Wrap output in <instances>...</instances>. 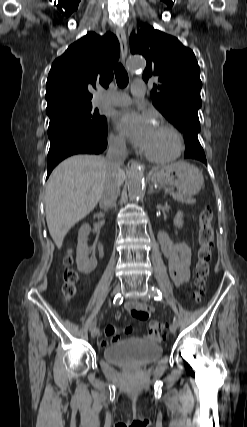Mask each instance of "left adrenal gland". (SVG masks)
<instances>
[{
  "label": "left adrenal gland",
  "instance_id": "a2214340",
  "mask_svg": "<svg viewBox=\"0 0 247 427\" xmlns=\"http://www.w3.org/2000/svg\"><path fill=\"white\" fill-rule=\"evenodd\" d=\"M155 191H154V189H153V187L151 186L150 187V189H149V191H148V194H152V193H154Z\"/></svg>",
  "mask_w": 247,
  "mask_h": 427
}]
</instances>
